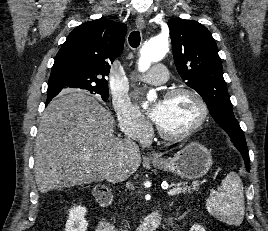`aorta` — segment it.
Listing matches in <instances>:
<instances>
[{
  "mask_svg": "<svg viewBox=\"0 0 268 231\" xmlns=\"http://www.w3.org/2000/svg\"><path fill=\"white\" fill-rule=\"evenodd\" d=\"M169 50V42L165 38L155 37L145 43L140 50V58L138 61V69L140 72L147 71L152 62L162 60ZM148 99L153 100L156 97L155 92H149ZM147 102L142 104L143 108H147Z\"/></svg>",
  "mask_w": 268,
  "mask_h": 231,
  "instance_id": "762f6f07",
  "label": "aorta"
}]
</instances>
